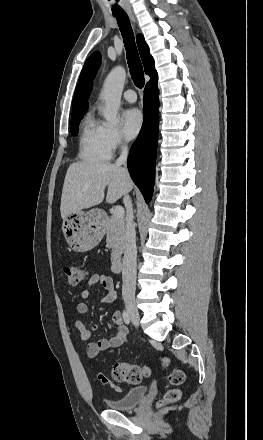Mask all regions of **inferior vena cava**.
<instances>
[{
	"label": "inferior vena cava",
	"mask_w": 263,
	"mask_h": 440,
	"mask_svg": "<svg viewBox=\"0 0 263 440\" xmlns=\"http://www.w3.org/2000/svg\"><path fill=\"white\" fill-rule=\"evenodd\" d=\"M128 157V147L123 145L121 148L120 157L116 160L115 166L122 169L125 176L129 177L128 170L126 168ZM124 165L122 168L121 166ZM123 203L126 208V229L124 235V258H123V270H122V295L125 301L133 300L136 289V233L134 228V215L132 201L125 193Z\"/></svg>",
	"instance_id": "inferior-vena-cava-1"
}]
</instances>
